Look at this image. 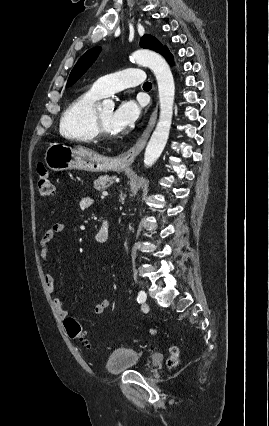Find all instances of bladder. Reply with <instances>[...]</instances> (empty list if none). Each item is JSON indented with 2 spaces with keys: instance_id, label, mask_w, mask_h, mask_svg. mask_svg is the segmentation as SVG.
<instances>
[{
  "instance_id": "31cf9c89",
  "label": "bladder",
  "mask_w": 269,
  "mask_h": 426,
  "mask_svg": "<svg viewBox=\"0 0 269 426\" xmlns=\"http://www.w3.org/2000/svg\"><path fill=\"white\" fill-rule=\"evenodd\" d=\"M140 361V353L132 348L120 347L109 353L105 361V369L117 375L136 368Z\"/></svg>"
}]
</instances>
